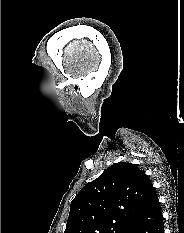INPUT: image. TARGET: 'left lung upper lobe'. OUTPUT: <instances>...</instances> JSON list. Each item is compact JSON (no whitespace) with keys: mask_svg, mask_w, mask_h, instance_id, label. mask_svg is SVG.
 I'll list each match as a JSON object with an SVG mask.
<instances>
[{"mask_svg":"<svg viewBox=\"0 0 184 233\" xmlns=\"http://www.w3.org/2000/svg\"><path fill=\"white\" fill-rule=\"evenodd\" d=\"M153 191L135 164L115 163L72 200L64 233H130Z\"/></svg>","mask_w":184,"mask_h":233,"instance_id":"obj_1","label":"left lung upper lobe"}]
</instances>
